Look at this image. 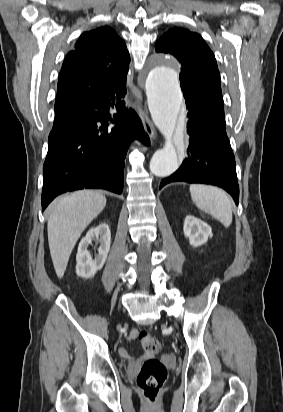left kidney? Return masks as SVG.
Returning a JSON list of instances; mask_svg holds the SVG:
<instances>
[{
    "instance_id": "left-kidney-1",
    "label": "left kidney",
    "mask_w": 283,
    "mask_h": 412,
    "mask_svg": "<svg viewBox=\"0 0 283 412\" xmlns=\"http://www.w3.org/2000/svg\"><path fill=\"white\" fill-rule=\"evenodd\" d=\"M183 231L189 243L198 247L205 244L209 237H212L211 227L192 215H188L184 220Z\"/></svg>"
}]
</instances>
